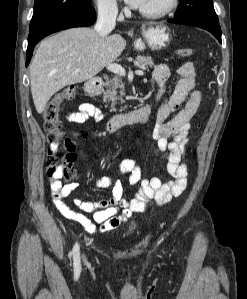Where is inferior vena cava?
<instances>
[{"label": "inferior vena cava", "mask_w": 247, "mask_h": 299, "mask_svg": "<svg viewBox=\"0 0 247 299\" xmlns=\"http://www.w3.org/2000/svg\"><path fill=\"white\" fill-rule=\"evenodd\" d=\"M118 9L116 3L102 4L98 7L95 31L100 37H106L116 25Z\"/></svg>", "instance_id": "obj_1"}]
</instances>
